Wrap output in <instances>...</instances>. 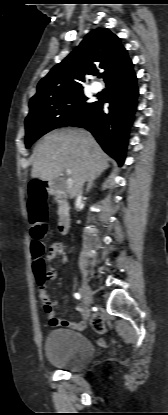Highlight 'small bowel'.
I'll return each mask as SVG.
<instances>
[{"label": "small bowel", "instance_id": "c3829d8e", "mask_svg": "<svg viewBox=\"0 0 168 415\" xmlns=\"http://www.w3.org/2000/svg\"><path fill=\"white\" fill-rule=\"evenodd\" d=\"M63 252V243L60 241L54 242L48 251V259H54L57 255L62 254ZM57 274L54 271L49 272V279H56ZM39 296L41 302L43 304V310L47 314L49 324L53 327H72L74 329H83L86 325L84 320L79 321H69L63 318L57 317L54 306L56 305V301L51 300L48 297L47 291L44 286L40 287ZM77 310L82 311L80 306L77 307Z\"/></svg>", "mask_w": 168, "mask_h": 415}]
</instances>
